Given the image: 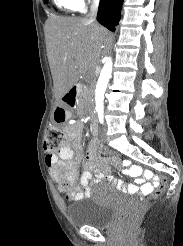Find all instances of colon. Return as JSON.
<instances>
[{"mask_svg": "<svg viewBox=\"0 0 183 246\" xmlns=\"http://www.w3.org/2000/svg\"><path fill=\"white\" fill-rule=\"evenodd\" d=\"M66 119V110L63 108H57L55 112V120L56 122H64ZM64 141V134L63 132L56 126H49L46 129V134H45V150L48 153H55L59 150L61 147L62 143ZM103 154H109L110 157H116L117 153L113 152L110 149H103ZM137 167V166H134ZM168 177H161V181L157 182V187L153 192V197H159L162 192L165 189L166 182H168ZM60 186L63 190H68L69 188V182L68 181H61ZM146 206V202H142L140 206L132 213L126 215L124 217V223L126 225H131L134 223V221L137 219L139 216L140 212L142 209Z\"/></svg>", "mask_w": 183, "mask_h": 246, "instance_id": "obj_1", "label": "colon"}]
</instances>
